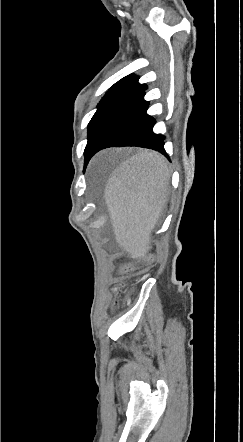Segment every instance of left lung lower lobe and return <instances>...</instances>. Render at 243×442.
Wrapping results in <instances>:
<instances>
[{
	"label": "left lung lower lobe",
	"mask_w": 243,
	"mask_h": 442,
	"mask_svg": "<svg viewBox=\"0 0 243 442\" xmlns=\"http://www.w3.org/2000/svg\"><path fill=\"white\" fill-rule=\"evenodd\" d=\"M145 84L139 85L119 100L102 118L84 151L85 163L108 147L138 146L156 150L167 158L164 137L153 133L155 119L146 113Z\"/></svg>",
	"instance_id": "obj_1"
}]
</instances>
